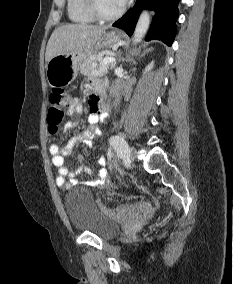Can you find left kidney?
Instances as JSON below:
<instances>
[{
	"label": "left kidney",
	"mask_w": 233,
	"mask_h": 284,
	"mask_svg": "<svg viewBox=\"0 0 233 284\" xmlns=\"http://www.w3.org/2000/svg\"><path fill=\"white\" fill-rule=\"evenodd\" d=\"M153 66H154V62L152 61V62L145 68V72H144V73L149 72V71L153 68Z\"/></svg>",
	"instance_id": "obj_1"
}]
</instances>
